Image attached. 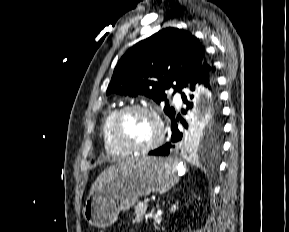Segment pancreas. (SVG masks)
<instances>
[{"label":"pancreas","instance_id":"pancreas-1","mask_svg":"<svg viewBox=\"0 0 289 232\" xmlns=\"http://www.w3.org/2000/svg\"><path fill=\"white\" fill-rule=\"evenodd\" d=\"M147 210V204L139 202L135 206V212H134V223H140L143 220V217Z\"/></svg>","mask_w":289,"mask_h":232}]
</instances>
